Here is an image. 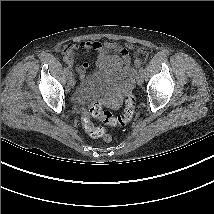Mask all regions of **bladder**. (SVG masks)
Masks as SVG:
<instances>
[{"label":"bladder","mask_w":214,"mask_h":214,"mask_svg":"<svg viewBox=\"0 0 214 214\" xmlns=\"http://www.w3.org/2000/svg\"><path fill=\"white\" fill-rule=\"evenodd\" d=\"M121 69H109L100 71L85 79L77 88L75 98L84 100L87 97H103L108 93L120 92L125 81V76Z\"/></svg>","instance_id":"obj_1"}]
</instances>
